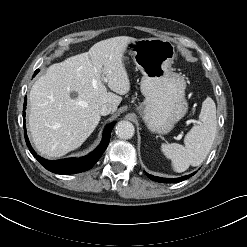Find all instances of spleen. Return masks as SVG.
Masks as SVG:
<instances>
[{
	"instance_id": "3e777b00",
	"label": "spleen",
	"mask_w": 247,
	"mask_h": 247,
	"mask_svg": "<svg viewBox=\"0 0 247 247\" xmlns=\"http://www.w3.org/2000/svg\"><path fill=\"white\" fill-rule=\"evenodd\" d=\"M200 123L194 125L184 138V144H162L164 155L171 159L174 171L183 172L199 166L207 157L217 132L216 105L208 97L202 103Z\"/></svg>"
}]
</instances>
